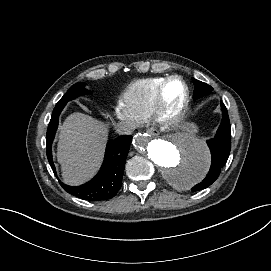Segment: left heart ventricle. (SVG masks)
Returning a JSON list of instances; mask_svg holds the SVG:
<instances>
[{"label": "left heart ventricle", "instance_id": "b2bd125f", "mask_svg": "<svg viewBox=\"0 0 271 271\" xmlns=\"http://www.w3.org/2000/svg\"><path fill=\"white\" fill-rule=\"evenodd\" d=\"M185 95V86L179 80L172 81L167 88V98L175 103L180 101Z\"/></svg>", "mask_w": 271, "mask_h": 271}]
</instances>
